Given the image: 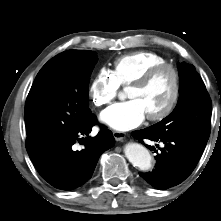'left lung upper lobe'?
I'll use <instances>...</instances> for the list:
<instances>
[{
  "label": "left lung upper lobe",
  "mask_w": 221,
  "mask_h": 221,
  "mask_svg": "<svg viewBox=\"0 0 221 221\" xmlns=\"http://www.w3.org/2000/svg\"><path fill=\"white\" fill-rule=\"evenodd\" d=\"M180 97L174 111L151 126L155 133L186 136L208 141L211 129L212 104L204 82L193 65L179 64Z\"/></svg>",
  "instance_id": "1"
}]
</instances>
